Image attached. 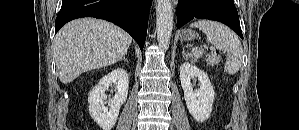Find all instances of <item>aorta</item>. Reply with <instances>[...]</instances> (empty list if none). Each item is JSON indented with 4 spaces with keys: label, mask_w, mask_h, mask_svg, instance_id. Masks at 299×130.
I'll use <instances>...</instances> for the list:
<instances>
[{
    "label": "aorta",
    "mask_w": 299,
    "mask_h": 130,
    "mask_svg": "<svg viewBox=\"0 0 299 130\" xmlns=\"http://www.w3.org/2000/svg\"><path fill=\"white\" fill-rule=\"evenodd\" d=\"M156 29L159 45L166 49L169 46L173 29V7L171 0H157Z\"/></svg>",
    "instance_id": "762f6f07"
}]
</instances>
